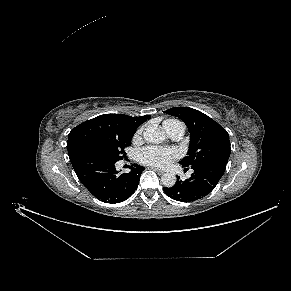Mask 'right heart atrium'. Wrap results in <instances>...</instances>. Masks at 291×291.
Returning a JSON list of instances; mask_svg holds the SVG:
<instances>
[{
    "instance_id": "obj_1",
    "label": "right heart atrium",
    "mask_w": 291,
    "mask_h": 291,
    "mask_svg": "<svg viewBox=\"0 0 291 291\" xmlns=\"http://www.w3.org/2000/svg\"><path fill=\"white\" fill-rule=\"evenodd\" d=\"M142 135V128H139L133 135V141L138 142Z\"/></svg>"
}]
</instances>
